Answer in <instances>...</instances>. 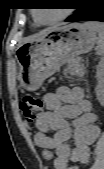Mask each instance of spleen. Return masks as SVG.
Segmentation results:
<instances>
[{
    "mask_svg": "<svg viewBox=\"0 0 104 169\" xmlns=\"http://www.w3.org/2000/svg\"><path fill=\"white\" fill-rule=\"evenodd\" d=\"M90 28H93L94 30H96L98 32L99 35V39H98V53L100 54L101 50L103 49V45H104V28L103 25L100 23H94V22H90V23H86Z\"/></svg>",
    "mask_w": 104,
    "mask_h": 169,
    "instance_id": "3e777b00",
    "label": "spleen"
}]
</instances>
